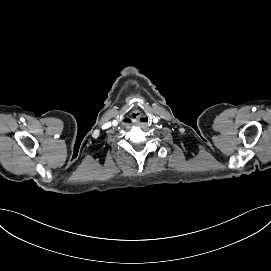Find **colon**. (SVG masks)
<instances>
[{
	"label": "colon",
	"mask_w": 271,
	"mask_h": 271,
	"mask_svg": "<svg viewBox=\"0 0 271 271\" xmlns=\"http://www.w3.org/2000/svg\"><path fill=\"white\" fill-rule=\"evenodd\" d=\"M78 156H79V149L75 147L74 149H72L71 155L69 157V164L74 163L77 160Z\"/></svg>",
	"instance_id": "obj_1"
}]
</instances>
